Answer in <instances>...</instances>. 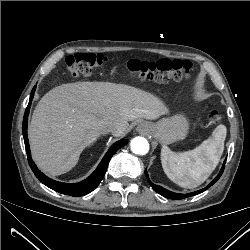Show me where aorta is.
Wrapping results in <instances>:
<instances>
[{
  "label": "aorta",
  "mask_w": 250,
  "mask_h": 250,
  "mask_svg": "<svg viewBox=\"0 0 250 250\" xmlns=\"http://www.w3.org/2000/svg\"><path fill=\"white\" fill-rule=\"evenodd\" d=\"M130 146L132 152L138 155H145L149 151V143L144 137H135Z\"/></svg>",
  "instance_id": "obj_1"
}]
</instances>
